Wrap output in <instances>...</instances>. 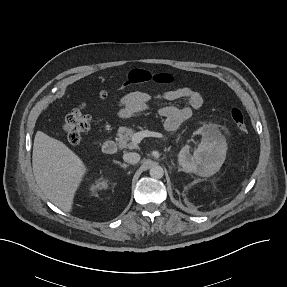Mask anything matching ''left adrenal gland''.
<instances>
[{
  "label": "left adrenal gland",
  "mask_w": 287,
  "mask_h": 287,
  "mask_svg": "<svg viewBox=\"0 0 287 287\" xmlns=\"http://www.w3.org/2000/svg\"><path fill=\"white\" fill-rule=\"evenodd\" d=\"M171 147L168 148V151H170Z\"/></svg>",
  "instance_id": "a2214340"
}]
</instances>
